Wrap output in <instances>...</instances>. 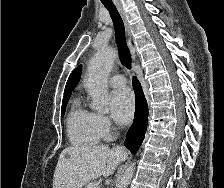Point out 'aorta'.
<instances>
[{
    "label": "aorta",
    "mask_w": 224,
    "mask_h": 188,
    "mask_svg": "<svg viewBox=\"0 0 224 188\" xmlns=\"http://www.w3.org/2000/svg\"><path fill=\"white\" fill-rule=\"evenodd\" d=\"M116 52L113 48L103 47L91 58L88 65L85 85L92 98L91 108L103 111L108 103L107 79L112 69ZM135 170V162L123 172L116 188H127Z\"/></svg>",
    "instance_id": "obj_1"
}]
</instances>
